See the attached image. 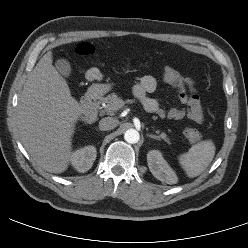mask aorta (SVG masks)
Segmentation results:
<instances>
[{"label": "aorta", "instance_id": "aorta-1", "mask_svg": "<svg viewBox=\"0 0 248 248\" xmlns=\"http://www.w3.org/2000/svg\"><path fill=\"white\" fill-rule=\"evenodd\" d=\"M124 139L130 144H135L140 139L139 132L135 129H128L124 134Z\"/></svg>", "mask_w": 248, "mask_h": 248}]
</instances>
